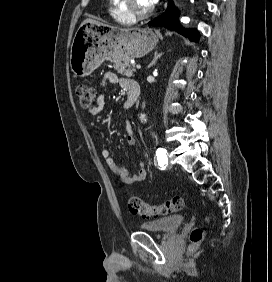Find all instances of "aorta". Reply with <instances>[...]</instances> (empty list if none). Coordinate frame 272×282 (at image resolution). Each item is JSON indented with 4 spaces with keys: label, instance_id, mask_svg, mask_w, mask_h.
<instances>
[{
    "label": "aorta",
    "instance_id": "obj_1",
    "mask_svg": "<svg viewBox=\"0 0 272 282\" xmlns=\"http://www.w3.org/2000/svg\"><path fill=\"white\" fill-rule=\"evenodd\" d=\"M138 117L140 120H144L145 119V113L144 112H139Z\"/></svg>",
    "mask_w": 272,
    "mask_h": 282
}]
</instances>
